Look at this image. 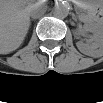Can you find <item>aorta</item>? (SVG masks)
<instances>
[{"mask_svg":"<svg viewBox=\"0 0 103 103\" xmlns=\"http://www.w3.org/2000/svg\"><path fill=\"white\" fill-rule=\"evenodd\" d=\"M52 12L57 18H65L69 14V7L66 3H57L54 5Z\"/></svg>","mask_w":103,"mask_h":103,"instance_id":"762f6f07","label":"aorta"}]
</instances>
